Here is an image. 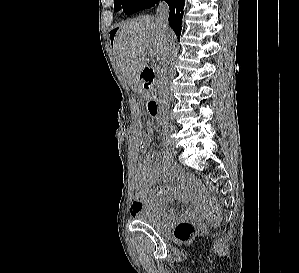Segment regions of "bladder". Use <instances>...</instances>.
I'll list each match as a JSON object with an SVG mask.
<instances>
[{"label":"bladder","mask_w":299,"mask_h":273,"mask_svg":"<svg viewBox=\"0 0 299 273\" xmlns=\"http://www.w3.org/2000/svg\"><path fill=\"white\" fill-rule=\"evenodd\" d=\"M176 219L174 215L160 216L148 210H143L137 215V220L156 231H164Z\"/></svg>","instance_id":"1"}]
</instances>
